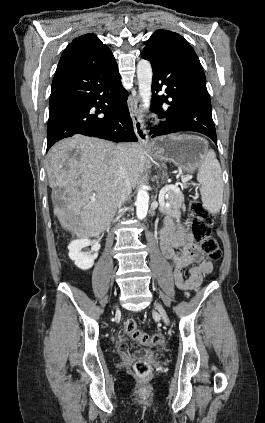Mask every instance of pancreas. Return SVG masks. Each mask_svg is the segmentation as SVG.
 Wrapping results in <instances>:
<instances>
[{
  "label": "pancreas",
  "instance_id": "pancreas-1",
  "mask_svg": "<svg viewBox=\"0 0 265 423\" xmlns=\"http://www.w3.org/2000/svg\"><path fill=\"white\" fill-rule=\"evenodd\" d=\"M167 197H166V202L169 204L168 206H160L159 210L161 213L163 214H167L173 218H180L181 216V212H180V208L183 207V203H184V196L182 194V192L179 191H174V190H169L166 193Z\"/></svg>",
  "mask_w": 265,
  "mask_h": 423
}]
</instances>
